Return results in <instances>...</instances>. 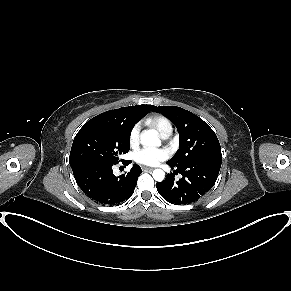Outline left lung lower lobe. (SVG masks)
Listing matches in <instances>:
<instances>
[{"mask_svg": "<svg viewBox=\"0 0 291 291\" xmlns=\"http://www.w3.org/2000/svg\"><path fill=\"white\" fill-rule=\"evenodd\" d=\"M222 160L202 159L185 163L172 169L182 175L177 182L174 175H168L165 180L156 184L159 194L169 203L176 205L190 204L206 192L215 184Z\"/></svg>", "mask_w": 291, "mask_h": 291, "instance_id": "left-lung-lower-lobe-1", "label": "left lung lower lobe"}]
</instances>
